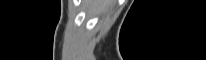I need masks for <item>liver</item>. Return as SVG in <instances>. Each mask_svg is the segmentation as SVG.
I'll list each match as a JSON object with an SVG mask.
<instances>
[{
	"mask_svg": "<svg viewBox=\"0 0 206 60\" xmlns=\"http://www.w3.org/2000/svg\"><path fill=\"white\" fill-rule=\"evenodd\" d=\"M84 4L88 13L92 14H106L113 6L111 0H85Z\"/></svg>",
	"mask_w": 206,
	"mask_h": 60,
	"instance_id": "liver-1",
	"label": "liver"
}]
</instances>
